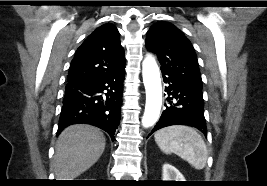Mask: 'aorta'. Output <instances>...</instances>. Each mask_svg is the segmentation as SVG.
Returning <instances> with one entry per match:
<instances>
[{
  "label": "aorta",
  "instance_id": "aorta-1",
  "mask_svg": "<svg viewBox=\"0 0 267 186\" xmlns=\"http://www.w3.org/2000/svg\"><path fill=\"white\" fill-rule=\"evenodd\" d=\"M142 75L146 90V105L142 117V125L148 128L153 126L158 120L162 105L160 71L155 59L151 55H147L143 61Z\"/></svg>",
  "mask_w": 267,
  "mask_h": 186
}]
</instances>
